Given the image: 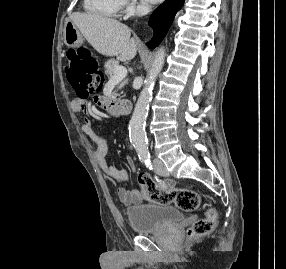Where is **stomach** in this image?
Segmentation results:
<instances>
[{"mask_svg":"<svg viewBox=\"0 0 286 269\" xmlns=\"http://www.w3.org/2000/svg\"><path fill=\"white\" fill-rule=\"evenodd\" d=\"M63 40L68 47H78L83 43V35L71 21L64 26Z\"/></svg>","mask_w":286,"mask_h":269,"instance_id":"1","label":"stomach"}]
</instances>
